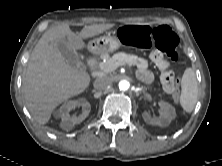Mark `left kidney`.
I'll list each match as a JSON object with an SVG mask.
<instances>
[{"label":"left kidney","mask_w":222,"mask_h":166,"mask_svg":"<svg viewBox=\"0 0 222 166\" xmlns=\"http://www.w3.org/2000/svg\"><path fill=\"white\" fill-rule=\"evenodd\" d=\"M158 105L160 106V116L157 118H152L149 113L144 112L142 114L143 119L146 123L151 125H158L166 127L168 126L173 119L176 117L175 108L165 101H159Z\"/></svg>","instance_id":"5707ae66"}]
</instances>
